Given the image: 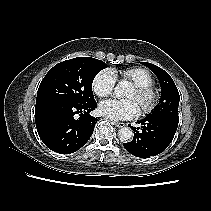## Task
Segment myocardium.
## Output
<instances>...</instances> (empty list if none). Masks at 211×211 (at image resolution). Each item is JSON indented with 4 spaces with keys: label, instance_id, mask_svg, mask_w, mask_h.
<instances>
[{
    "label": "myocardium",
    "instance_id": "1",
    "mask_svg": "<svg viewBox=\"0 0 211 211\" xmlns=\"http://www.w3.org/2000/svg\"><path fill=\"white\" fill-rule=\"evenodd\" d=\"M140 99V110L143 114L152 113L160 101V92L153 85H134Z\"/></svg>",
    "mask_w": 211,
    "mask_h": 211
}]
</instances>
